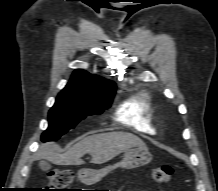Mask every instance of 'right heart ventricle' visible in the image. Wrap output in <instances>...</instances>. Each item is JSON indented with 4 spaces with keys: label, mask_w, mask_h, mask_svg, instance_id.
Segmentation results:
<instances>
[{
    "label": "right heart ventricle",
    "mask_w": 218,
    "mask_h": 191,
    "mask_svg": "<svg viewBox=\"0 0 218 191\" xmlns=\"http://www.w3.org/2000/svg\"><path fill=\"white\" fill-rule=\"evenodd\" d=\"M121 122L133 126L140 132L154 134L157 124L151 98L147 93L136 94L125 100L117 111Z\"/></svg>",
    "instance_id": "e07e8e85"
}]
</instances>
